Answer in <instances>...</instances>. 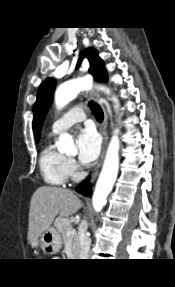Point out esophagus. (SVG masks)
Listing matches in <instances>:
<instances>
[{
    "instance_id": "esophagus-1",
    "label": "esophagus",
    "mask_w": 175,
    "mask_h": 287,
    "mask_svg": "<svg viewBox=\"0 0 175 287\" xmlns=\"http://www.w3.org/2000/svg\"><path fill=\"white\" fill-rule=\"evenodd\" d=\"M91 97L93 100L95 101H98L99 98H100V95L98 92L96 91H92L91 92ZM102 109H103V113H104V119H103V122L99 128L100 130V133L103 137V142H102V150H101V155H100V159L98 160L97 164H96V167L92 173V176H91V182H94L99 174V171H100V168L102 166V162H103V159H104V156H105V152H106V147H107V143H108V133H107V126H108V115H107V112L104 108L103 105H101Z\"/></svg>"
}]
</instances>
